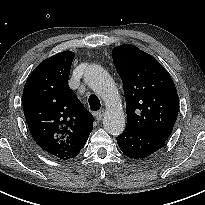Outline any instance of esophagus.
<instances>
[{"label": "esophagus", "mask_w": 205, "mask_h": 205, "mask_svg": "<svg viewBox=\"0 0 205 205\" xmlns=\"http://www.w3.org/2000/svg\"><path fill=\"white\" fill-rule=\"evenodd\" d=\"M104 110L102 109V110H99V111H97V113H96V119L98 120V121H100L101 119H102V117L104 116Z\"/></svg>", "instance_id": "34e87169"}]
</instances>
